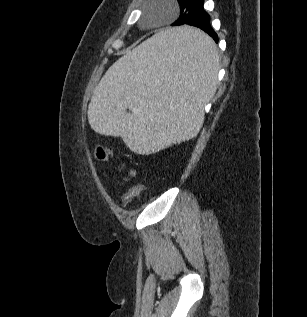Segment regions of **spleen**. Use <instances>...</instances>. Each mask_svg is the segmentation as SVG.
Wrapping results in <instances>:
<instances>
[{"instance_id": "spleen-1", "label": "spleen", "mask_w": 307, "mask_h": 317, "mask_svg": "<svg viewBox=\"0 0 307 317\" xmlns=\"http://www.w3.org/2000/svg\"><path fill=\"white\" fill-rule=\"evenodd\" d=\"M218 59L201 29H160L107 71L91 98V127L122 137L136 155L193 138L216 91Z\"/></svg>"}]
</instances>
